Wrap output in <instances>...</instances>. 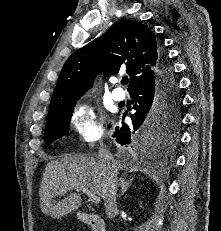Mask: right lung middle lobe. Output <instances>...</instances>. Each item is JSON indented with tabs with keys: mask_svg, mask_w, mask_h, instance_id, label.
Wrapping results in <instances>:
<instances>
[{
	"mask_svg": "<svg viewBox=\"0 0 221 231\" xmlns=\"http://www.w3.org/2000/svg\"><path fill=\"white\" fill-rule=\"evenodd\" d=\"M79 98L66 101L48 115L45 129L46 142L52 143L68 132L73 107ZM180 102L179 99L168 95L159 97L141 129L148 141L164 146L174 139L181 117Z\"/></svg>",
	"mask_w": 221,
	"mask_h": 231,
	"instance_id": "1",
	"label": "right lung middle lobe"
}]
</instances>
